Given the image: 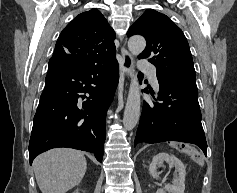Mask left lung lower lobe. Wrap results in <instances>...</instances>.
<instances>
[{
	"mask_svg": "<svg viewBox=\"0 0 237 193\" xmlns=\"http://www.w3.org/2000/svg\"><path fill=\"white\" fill-rule=\"evenodd\" d=\"M158 82L161 103L144 101L134 144L179 141L195 144L207 155L197 86L160 79ZM144 92L154 95L151 87Z\"/></svg>",
	"mask_w": 237,
	"mask_h": 193,
	"instance_id": "1",
	"label": "left lung lower lobe"
}]
</instances>
